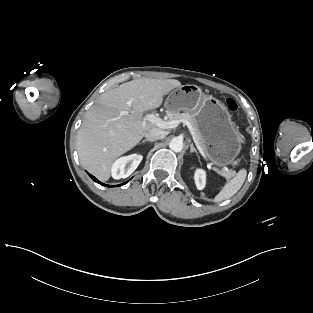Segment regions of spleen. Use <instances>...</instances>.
Segmentation results:
<instances>
[{"instance_id":"obj_1","label":"spleen","mask_w":313,"mask_h":313,"mask_svg":"<svg viewBox=\"0 0 313 313\" xmlns=\"http://www.w3.org/2000/svg\"><path fill=\"white\" fill-rule=\"evenodd\" d=\"M246 176L247 171L245 169H241L233 179L226 182L213 201L219 203L235 195L242 187Z\"/></svg>"}]
</instances>
